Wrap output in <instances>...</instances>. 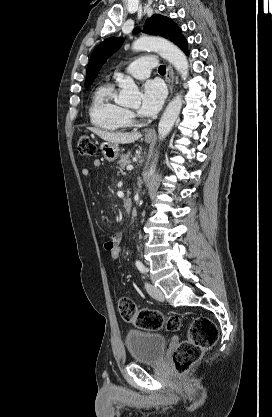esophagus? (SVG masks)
Instances as JSON below:
<instances>
[{
    "label": "esophagus",
    "mask_w": 272,
    "mask_h": 417,
    "mask_svg": "<svg viewBox=\"0 0 272 417\" xmlns=\"http://www.w3.org/2000/svg\"><path fill=\"white\" fill-rule=\"evenodd\" d=\"M166 81L168 83V87H169V91H170V96L172 95L173 92V87H174V72H173V68L168 65L167 66V72H166ZM146 136H153L155 135V129L154 128H150L149 130H147Z\"/></svg>",
    "instance_id": "esophagus-1"
}]
</instances>
